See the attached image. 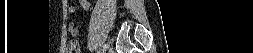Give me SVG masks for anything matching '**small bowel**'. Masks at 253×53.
<instances>
[{
	"instance_id": "obj_1",
	"label": "small bowel",
	"mask_w": 253,
	"mask_h": 53,
	"mask_svg": "<svg viewBox=\"0 0 253 53\" xmlns=\"http://www.w3.org/2000/svg\"><path fill=\"white\" fill-rule=\"evenodd\" d=\"M73 12H74V10L71 9L70 13H73ZM68 31H69V33H70L71 36L75 37V36L78 35V29L73 24H69Z\"/></svg>"
}]
</instances>
